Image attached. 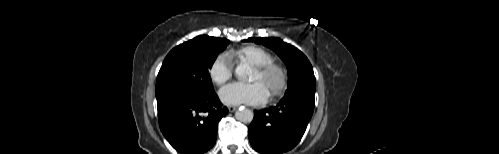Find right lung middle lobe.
Wrapping results in <instances>:
<instances>
[{"label":"right lung middle lobe","mask_w":499,"mask_h":154,"mask_svg":"<svg viewBox=\"0 0 499 154\" xmlns=\"http://www.w3.org/2000/svg\"><path fill=\"white\" fill-rule=\"evenodd\" d=\"M228 44L227 39L202 35L173 48L158 73L157 99L173 93L195 96L213 93L209 70Z\"/></svg>","instance_id":"obj_1"}]
</instances>
